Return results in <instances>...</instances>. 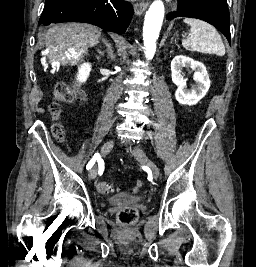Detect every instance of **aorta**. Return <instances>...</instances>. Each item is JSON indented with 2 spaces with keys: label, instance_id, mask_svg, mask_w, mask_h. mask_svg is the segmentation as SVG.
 Wrapping results in <instances>:
<instances>
[{
  "label": "aorta",
  "instance_id": "1",
  "mask_svg": "<svg viewBox=\"0 0 256 267\" xmlns=\"http://www.w3.org/2000/svg\"><path fill=\"white\" fill-rule=\"evenodd\" d=\"M165 14L162 0H155L146 12L143 26V42L147 60H152L156 52V42L159 38Z\"/></svg>",
  "mask_w": 256,
  "mask_h": 267
}]
</instances>
